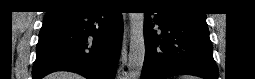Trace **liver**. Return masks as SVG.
Here are the masks:
<instances>
[{
	"mask_svg": "<svg viewBox=\"0 0 255 79\" xmlns=\"http://www.w3.org/2000/svg\"><path fill=\"white\" fill-rule=\"evenodd\" d=\"M46 79H83L82 76L71 72H56L46 77Z\"/></svg>",
	"mask_w": 255,
	"mask_h": 79,
	"instance_id": "6515ba94",
	"label": "liver"
}]
</instances>
